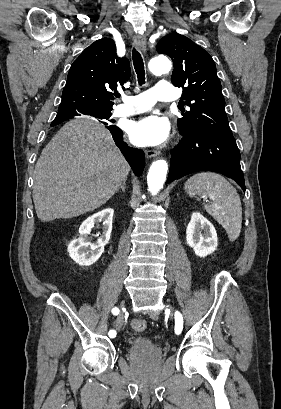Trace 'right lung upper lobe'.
<instances>
[{
  "label": "right lung upper lobe",
  "instance_id": "obj_1",
  "mask_svg": "<svg viewBox=\"0 0 281 409\" xmlns=\"http://www.w3.org/2000/svg\"><path fill=\"white\" fill-rule=\"evenodd\" d=\"M130 74L128 59L117 57L112 39L95 41L71 65L58 111L111 112L110 90L123 86Z\"/></svg>",
  "mask_w": 281,
  "mask_h": 409
}]
</instances>
